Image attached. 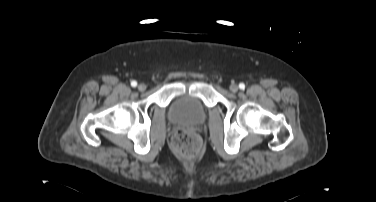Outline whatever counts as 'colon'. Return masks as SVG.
Wrapping results in <instances>:
<instances>
[{"mask_svg": "<svg viewBox=\"0 0 376 202\" xmlns=\"http://www.w3.org/2000/svg\"><path fill=\"white\" fill-rule=\"evenodd\" d=\"M172 147L181 156L193 157L199 152L201 141L196 134L179 130L173 136Z\"/></svg>", "mask_w": 376, "mask_h": 202, "instance_id": "colon-1", "label": "colon"}]
</instances>
